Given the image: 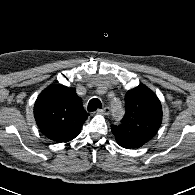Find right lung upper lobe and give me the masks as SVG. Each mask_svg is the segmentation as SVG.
I'll return each mask as SVG.
<instances>
[{"mask_svg":"<svg viewBox=\"0 0 195 195\" xmlns=\"http://www.w3.org/2000/svg\"><path fill=\"white\" fill-rule=\"evenodd\" d=\"M35 119L44 135L57 142L75 138L88 117L75 89L50 85L35 102Z\"/></svg>","mask_w":195,"mask_h":195,"instance_id":"1","label":"right lung upper lobe"}]
</instances>
